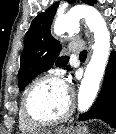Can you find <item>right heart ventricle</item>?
<instances>
[{
    "label": "right heart ventricle",
    "mask_w": 116,
    "mask_h": 134,
    "mask_svg": "<svg viewBox=\"0 0 116 134\" xmlns=\"http://www.w3.org/2000/svg\"><path fill=\"white\" fill-rule=\"evenodd\" d=\"M18 126L20 131L23 133H33L38 129V126H35L26 120L22 113L21 106L18 114Z\"/></svg>",
    "instance_id": "1"
}]
</instances>
